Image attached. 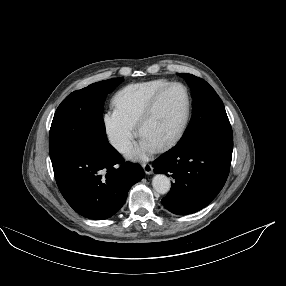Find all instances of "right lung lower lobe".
<instances>
[{
    "label": "right lung lower lobe",
    "mask_w": 286,
    "mask_h": 286,
    "mask_svg": "<svg viewBox=\"0 0 286 286\" xmlns=\"http://www.w3.org/2000/svg\"><path fill=\"white\" fill-rule=\"evenodd\" d=\"M123 161L116 150L113 156L106 157L79 148L52 160V165L58 188L68 204L84 217L102 220L124 205L129 189L144 176L139 165Z\"/></svg>",
    "instance_id": "right-lung-lower-lobe-1"
}]
</instances>
